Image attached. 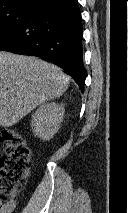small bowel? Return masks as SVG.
Segmentation results:
<instances>
[{
  "mask_svg": "<svg viewBox=\"0 0 128 213\" xmlns=\"http://www.w3.org/2000/svg\"><path fill=\"white\" fill-rule=\"evenodd\" d=\"M16 209V202L10 200L5 203H0V213H13Z\"/></svg>",
  "mask_w": 128,
  "mask_h": 213,
  "instance_id": "obj_1",
  "label": "small bowel"
}]
</instances>
